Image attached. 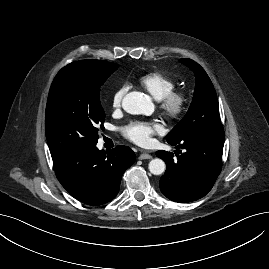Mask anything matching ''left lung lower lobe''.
Here are the masks:
<instances>
[{
    "label": "left lung lower lobe",
    "instance_id": "1",
    "mask_svg": "<svg viewBox=\"0 0 269 269\" xmlns=\"http://www.w3.org/2000/svg\"><path fill=\"white\" fill-rule=\"evenodd\" d=\"M225 134L222 130L200 129L176 143L186 151L181 155L163 150L156 155L165 161L160 190L168 199L186 203L205 196L213 187L222 167Z\"/></svg>",
    "mask_w": 269,
    "mask_h": 269
}]
</instances>
